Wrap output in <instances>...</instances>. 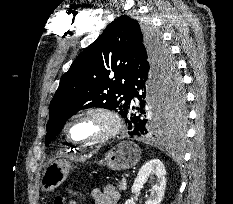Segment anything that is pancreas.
Segmentation results:
<instances>
[{
  "instance_id": "pancreas-1",
  "label": "pancreas",
  "mask_w": 233,
  "mask_h": 204,
  "mask_svg": "<svg viewBox=\"0 0 233 204\" xmlns=\"http://www.w3.org/2000/svg\"><path fill=\"white\" fill-rule=\"evenodd\" d=\"M127 188V181L126 180H121L118 185V189L120 191H124Z\"/></svg>"
}]
</instances>
